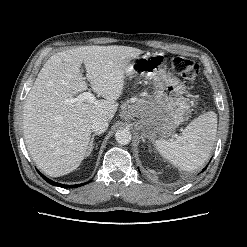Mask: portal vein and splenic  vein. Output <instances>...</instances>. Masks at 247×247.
<instances>
[{
    "instance_id": "18ae733b",
    "label": "portal vein and splenic vein",
    "mask_w": 247,
    "mask_h": 247,
    "mask_svg": "<svg viewBox=\"0 0 247 247\" xmlns=\"http://www.w3.org/2000/svg\"><path fill=\"white\" fill-rule=\"evenodd\" d=\"M83 101H88L90 103H94L95 102V96L91 92H83L82 94H80L76 98L66 99L67 104H72L75 102H83Z\"/></svg>"
}]
</instances>
